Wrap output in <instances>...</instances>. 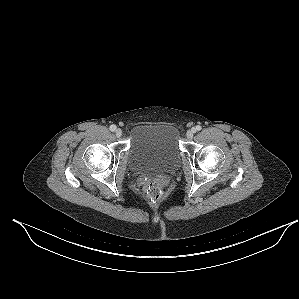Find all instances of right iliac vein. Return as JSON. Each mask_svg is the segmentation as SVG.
I'll list each match as a JSON object with an SVG mask.
<instances>
[{"label":"right iliac vein","instance_id":"right-iliac-vein-1","mask_svg":"<svg viewBox=\"0 0 299 299\" xmlns=\"http://www.w3.org/2000/svg\"><path fill=\"white\" fill-rule=\"evenodd\" d=\"M115 134H116V136H117L118 138H120V137L123 135V132H122L121 129L118 128V129L115 131Z\"/></svg>","mask_w":299,"mask_h":299}]
</instances>
